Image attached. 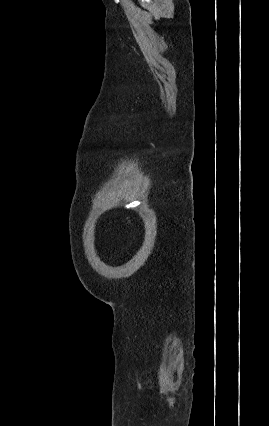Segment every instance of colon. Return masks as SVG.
Instances as JSON below:
<instances>
[{
  "mask_svg": "<svg viewBox=\"0 0 269 426\" xmlns=\"http://www.w3.org/2000/svg\"><path fill=\"white\" fill-rule=\"evenodd\" d=\"M127 223L131 224V219L130 218H127Z\"/></svg>",
  "mask_w": 269,
  "mask_h": 426,
  "instance_id": "1",
  "label": "colon"
}]
</instances>
